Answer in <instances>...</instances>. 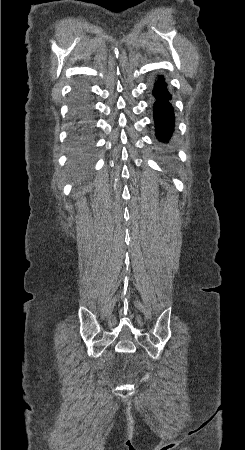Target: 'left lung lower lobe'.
Listing matches in <instances>:
<instances>
[{"mask_svg": "<svg viewBox=\"0 0 245 450\" xmlns=\"http://www.w3.org/2000/svg\"><path fill=\"white\" fill-rule=\"evenodd\" d=\"M154 121L156 135L163 143H168L174 131V109L170 94L163 76H159L154 84Z\"/></svg>", "mask_w": 245, "mask_h": 450, "instance_id": "0a47b994", "label": "left lung lower lobe"}]
</instances>
